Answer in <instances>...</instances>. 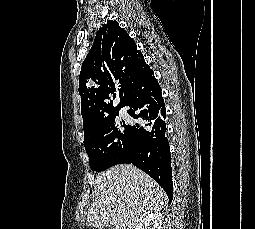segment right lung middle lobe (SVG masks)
<instances>
[{
	"instance_id": "right-lung-middle-lobe-1",
	"label": "right lung middle lobe",
	"mask_w": 255,
	"mask_h": 229,
	"mask_svg": "<svg viewBox=\"0 0 255 229\" xmlns=\"http://www.w3.org/2000/svg\"><path fill=\"white\" fill-rule=\"evenodd\" d=\"M118 112L103 122L84 142L92 171L101 172L121 164L133 154L131 125L116 118Z\"/></svg>"
}]
</instances>
